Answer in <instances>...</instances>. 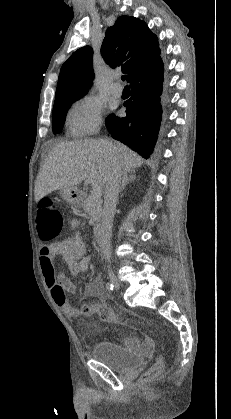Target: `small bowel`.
Here are the masks:
<instances>
[{"mask_svg": "<svg viewBox=\"0 0 231 419\" xmlns=\"http://www.w3.org/2000/svg\"><path fill=\"white\" fill-rule=\"evenodd\" d=\"M71 224L73 228H77L79 221L74 219ZM39 255L41 272L55 304L68 316L75 318L83 316L81 309L74 307L66 296V292L75 291L73 279L57 272L55 268V259L57 256H61L66 262L72 277L89 269L92 259L86 254V244L82 235L76 233L63 241L42 246ZM84 296L100 299L101 302L96 306H107L104 301L108 295L103 289L100 278H95L86 286ZM126 342L134 345L138 343V340L135 337H127Z\"/></svg>", "mask_w": 231, "mask_h": 419, "instance_id": "c3829d8e", "label": "small bowel"}]
</instances>
